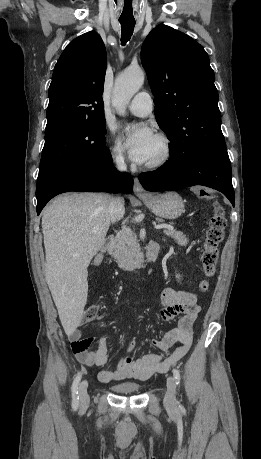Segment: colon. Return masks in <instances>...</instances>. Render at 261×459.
I'll list each match as a JSON object with an SVG mask.
<instances>
[{
  "label": "colon",
  "mask_w": 261,
  "mask_h": 459,
  "mask_svg": "<svg viewBox=\"0 0 261 459\" xmlns=\"http://www.w3.org/2000/svg\"><path fill=\"white\" fill-rule=\"evenodd\" d=\"M199 198L212 201L214 194L211 191L201 189L197 192ZM226 218L221 206L214 204L213 214L209 220V228L206 232L204 241L203 253L201 257L202 268L205 275L199 284L201 292H206L210 288V278L215 275L216 267L219 259V245L223 240L224 231L226 228ZM99 312L97 305L89 306L83 315V322L88 323L94 320Z\"/></svg>",
  "instance_id": "colon-1"
}]
</instances>
